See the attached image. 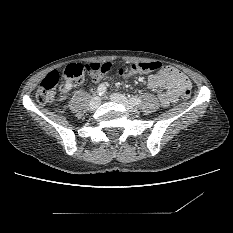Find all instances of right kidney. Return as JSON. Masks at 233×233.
<instances>
[{
	"label": "right kidney",
	"instance_id": "1",
	"mask_svg": "<svg viewBox=\"0 0 233 233\" xmlns=\"http://www.w3.org/2000/svg\"><path fill=\"white\" fill-rule=\"evenodd\" d=\"M72 87H73V84L70 81L66 82L64 87L62 88V91H61L62 94L65 95L66 93H68L72 89Z\"/></svg>",
	"mask_w": 233,
	"mask_h": 233
}]
</instances>
